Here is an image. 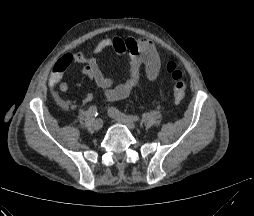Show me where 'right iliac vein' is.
I'll return each mask as SVG.
<instances>
[{"instance_id":"right-iliac-vein-1","label":"right iliac vein","mask_w":254,"mask_h":216,"mask_svg":"<svg viewBox=\"0 0 254 216\" xmlns=\"http://www.w3.org/2000/svg\"><path fill=\"white\" fill-rule=\"evenodd\" d=\"M93 126L96 130H99L103 127V120L98 118L96 120L93 121Z\"/></svg>"}]
</instances>
